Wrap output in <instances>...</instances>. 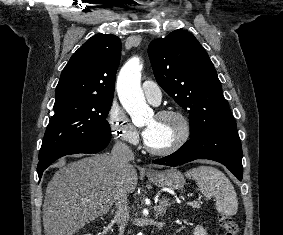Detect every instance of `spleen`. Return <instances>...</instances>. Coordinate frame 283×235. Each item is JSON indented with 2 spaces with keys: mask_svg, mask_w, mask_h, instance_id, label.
Wrapping results in <instances>:
<instances>
[{
  "mask_svg": "<svg viewBox=\"0 0 283 235\" xmlns=\"http://www.w3.org/2000/svg\"><path fill=\"white\" fill-rule=\"evenodd\" d=\"M185 175L196 181L202 194L215 197L219 213L225 216L237 213V194L223 172L212 166H199L188 170Z\"/></svg>",
  "mask_w": 283,
  "mask_h": 235,
  "instance_id": "3e777b00",
  "label": "spleen"
}]
</instances>
